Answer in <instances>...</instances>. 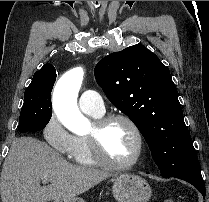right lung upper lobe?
<instances>
[{
	"instance_id": "obj_1",
	"label": "right lung upper lobe",
	"mask_w": 209,
	"mask_h": 202,
	"mask_svg": "<svg viewBox=\"0 0 209 202\" xmlns=\"http://www.w3.org/2000/svg\"><path fill=\"white\" fill-rule=\"evenodd\" d=\"M41 77L56 79V70L54 66L52 64H45L39 71H37L34 74L33 79L41 78Z\"/></svg>"
}]
</instances>
